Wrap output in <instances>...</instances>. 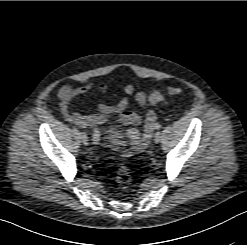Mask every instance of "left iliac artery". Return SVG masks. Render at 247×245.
I'll return each mask as SVG.
<instances>
[{
	"label": "left iliac artery",
	"mask_w": 247,
	"mask_h": 245,
	"mask_svg": "<svg viewBox=\"0 0 247 245\" xmlns=\"http://www.w3.org/2000/svg\"><path fill=\"white\" fill-rule=\"evenodd\" d=\"M154 128L157 129V130H159V129L161 128V125H160L159 123H156V124L154 125Z\"/></svg>",
	"instance_id": "44dca946"
}]
</instances>
